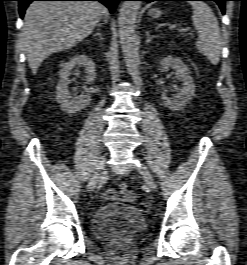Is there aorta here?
Instances as JSON below:
<instances>
[{
	"label": "aorta",
	"instance_id": "1",
	"mask_svg": "<svg viewBox=\"0 0 247 265\" xmlns=\"http://www.w3.org/2000/svg\"><path fill=\"white\" fill-rule=\"evenodd\" d=\"M140 1H124L118 18L119 38L127 69L135 85H142L140 75V58L136 37V18L140 9Z\"/></svg>",
	"mask_w": 247,
	"mask_h": 265
}]
</instances>
